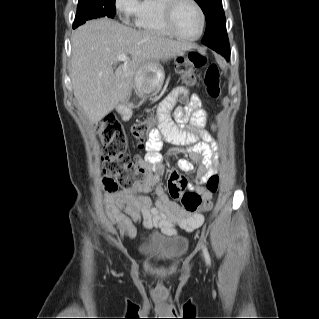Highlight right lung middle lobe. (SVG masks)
<instances>
[{
    "mask_svg": "<svg viewBox=\"0 0 319 319\" xmlns=\"http://www.w3.org/2000/svg\"><path fill=\"white\" fill-rule=\"evenodd\" d=\"M115 14V0H79L73 28L87 20L105 16L113 18Z\"/></svg>",
    "mask_w": 319,
    "mask_h": 319,
    "instance_id": "obj_1",
    "label": "right lung middle lobe"
}]
</instances>
